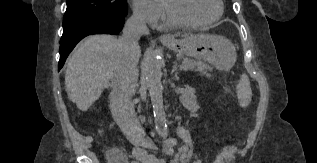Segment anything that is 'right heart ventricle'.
I'll list each match as a JSON object with an SVG mask.
<instances>
[{
	"mask_svg": "<svg viewBox=\"0 0 317 163\" xmlns=\"http://www.w3.org/2000/svg\"><path fill=\"white\" fill-rule=\"evenodd\" d=\"M162 24L166 27L172 26V24L166 19L164 15H162Z\"/></svg>",
	"mask_w": 317,
	"mask_h": 163,
	"instance_id": "obj_1",
	"label": "right heart ventricle"
}]
</instances>
